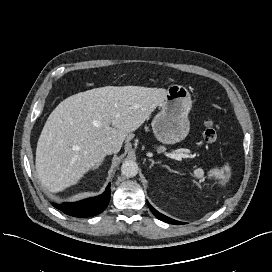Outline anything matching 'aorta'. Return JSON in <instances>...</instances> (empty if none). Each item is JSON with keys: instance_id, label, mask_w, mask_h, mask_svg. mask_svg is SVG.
<instances>
[{"instance_id": "aorta-1", "label": "aorta", "mask_w": 272, "mask_h": 272, "mask_svg": "<svg viewBox=\"0 0 272 272\" xmlns=\"http://www.w3.org/2000/svg\"><path fill=\"white\" fill-rule=\"evenodd\" d=\"M121 172L125 177H134L138 173V165L132 160L123 162Z\"/></svg>"}]
</instances>
